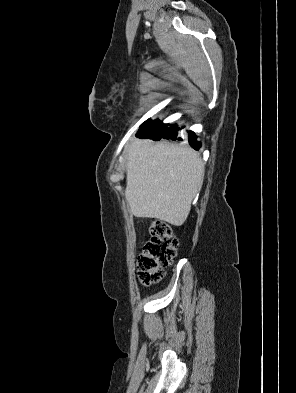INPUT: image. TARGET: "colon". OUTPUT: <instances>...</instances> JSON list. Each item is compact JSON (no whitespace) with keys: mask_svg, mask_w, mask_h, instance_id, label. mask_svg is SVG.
Instances as JSON below:
<instances>
[{"mask_svg":"<svg viewBox=\"0 0 296 393\" xmlns=\"http://www.w3.org/2000/svg\"><path fill=\"white\" fill-rule=\"evenodd\" d=\"M149 230L150 237L144 243L137 261L140 282L145 286L161 280L163 270L174 259L178 245L177 238L166 222L154 219L150 222Z\"/></svg>","mask_w":296,"mask_h":393,"instance_id":"colon-1","label":"colon"}]
</instances>
